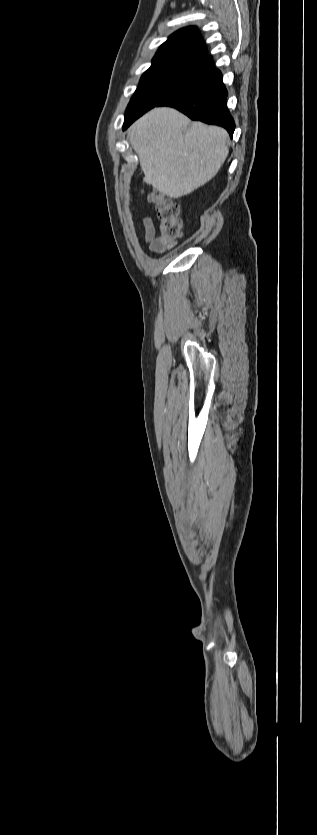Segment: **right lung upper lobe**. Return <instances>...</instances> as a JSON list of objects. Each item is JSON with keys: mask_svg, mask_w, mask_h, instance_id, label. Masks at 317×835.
I'll return each instance as SVG.
<instances>
[{"mask_svg": "<svg viewBox=\"0 0 317 835\" xmlns=\"http://www.w3.org/2000/svg\"><path fill=\"white\" fill-rule=\"evenodd\" d=\"M207 54V49L196 27L178 30L164 42L152 60V67Z\"/></svg>", "mask_w": 317, "mask_h": 835, "instance_id": "1", "label": "right lung upper lobe"}]
</instances>
